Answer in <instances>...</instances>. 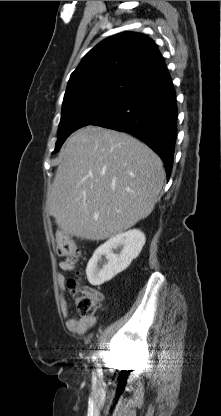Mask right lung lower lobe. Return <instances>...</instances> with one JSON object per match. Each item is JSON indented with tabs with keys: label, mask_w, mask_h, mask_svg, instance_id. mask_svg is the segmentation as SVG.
Listing matches in <instances>:
<instances>
[{
	"label": "right lung lower lobe",
	"mask_w": 221,
	"mask_h": 416,
	"mask_svg": "<svg viewBox=\"0 0 221 416\" xmlns=\"http://www.w3.org/2000/svg\"><path fill=\"white\" fill-rule=\"evenodd\" d=\"M177 102L169 74L159 83L130 92L93 125L126 132L144 141L163 160L167 179L173 165Z\"/></svg>",
	"instance_id": "1"
}]
</instances>
